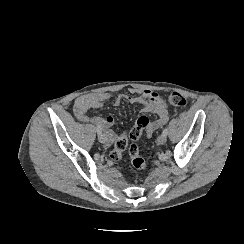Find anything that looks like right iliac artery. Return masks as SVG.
Masks as SVG:
<instances>
[{"instance_id":"right-iliac-artery-1","label":"right iliac artery","mask_w":244,"mask_h":244,"mask_svg":"<svg viewBox=\"0 0 244 244\" xmlns=\"http://www.w3.org/2000/svg\"><path fill=\"white\" fill-rule=\"evenodd\" d=\"M97 133L98 135L102 133V129L100 125H97Z\"/></svg>"}]
</instances>
